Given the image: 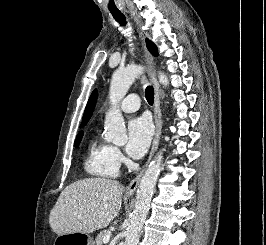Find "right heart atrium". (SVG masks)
Wrapping results in <instances>:
<instances>
[{
  "label": "right heart atrium",
  "instance_id": "d8ad5b80",
  "mask_svg": "<svg viewBox=\"0 0 266 245\" xmlns=\"http://www.w3.org/2000/svg\"><path fill=\"white\" fill-rule=\"evenodd\" d=\"M113 156L116 162L120 165L124 162V157L117 147H112Z\"/></svg>",
  "mask_w": 266,
  "mask_h": 245
}]
</instances>
